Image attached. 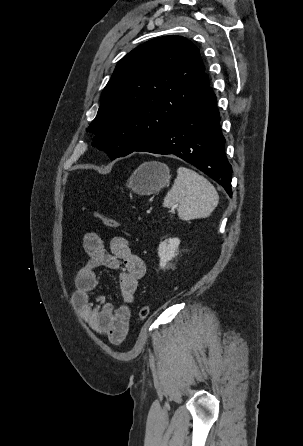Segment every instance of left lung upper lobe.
<instances>
[{
    "mask_svg": "<svg viewBox=\"0 0 303 446\" xmlns=\"http://www.w3.org/2000/svg\"><path fill=\"white\" fill-rule=\"evenodd\" d=\"M209 86L199 49L181 36L138 46L117 64L89 131L111 159L163 136Z\"/></svg>",
    "mask_w": 303,
    "mask_h": 446,
    "instance_id": "5c2ea615",
    "label": "left lung upper lobe"
}]
</instances>
